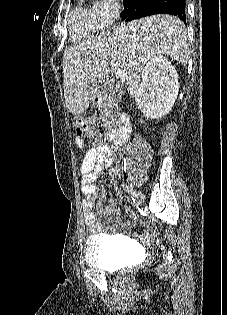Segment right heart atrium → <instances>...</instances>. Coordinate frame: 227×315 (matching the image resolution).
<instances>
[{"instance_id":"1","label":"right heart atrium","mask_w":227,"mask_h":315,"mask_svg":"<svg viewBox=\"0 0 227 315\" xmlns=\"http://www.w3.org/2000/svg\"><path fill=\"white\" fill-rule=\"evenodd\" d=\"M120 11L119 0H98L91 6L93 19L98 29L111 26L119 16Z\"/></svg>"}]
</instances>
